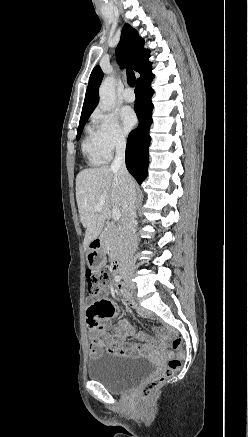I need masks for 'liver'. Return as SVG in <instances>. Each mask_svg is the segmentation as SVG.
Here are the masks:
<instances>
[{"instance_id": "1", "label": "liver", "mask_w": 248, "mask_h": 437, "mask_svg": "<svg viewBox=\"0 0 248 437\" xmlns=\"http://www.w3.org/2000/svg\"><path fill=\"white\" fill-rule=\"evenodd\" d=\"M118 171L109 167L84 169L76 177V200L82 225L86 228L84 248L87 250L101 233L110 208H118L124 215V190ZM105 197L101 211L94 207Z\"/></svg>"}]
</instances>
